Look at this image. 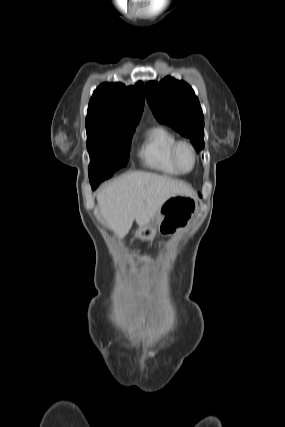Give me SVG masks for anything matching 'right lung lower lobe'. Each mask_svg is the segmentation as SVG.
<instances>
[{
  "label": "right lung lower lobe",
  "mask_w": 285,
  "mask_h": 427,
  "mask_svg": "<svg viewBox=\"0 0 285 427\" xmlns=\"http://www.w3.org/2000/svg\"><path fill=\"white\" fill-rule=\"evenodd\" d=\"M99 182H91L92 188L95 189L98 186Z\"/></svg>",
  "instance_id": "98d812e1"
}]
</instances>
